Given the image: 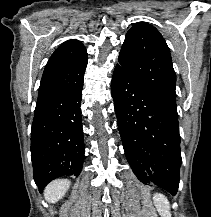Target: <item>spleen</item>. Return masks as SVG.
<instances>
[{"label": "spleen", "instance_id": "spleen-1", "mask_svg": "<svg viewBox=\"0 0 211 217\" xmlns=\"http://www.w3.org/2000/svg\"><path fill=\"white\" fill-rule=\"evenodd\" d=\"M153 202L161 217H171L170 203L163 194H154Z\"/></svg>", "mask_w": 211, "mask_h": 217}]
</instances>
